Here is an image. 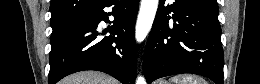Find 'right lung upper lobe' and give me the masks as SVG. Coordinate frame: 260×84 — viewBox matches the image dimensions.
I'll return each instance as SVG.
<instances>
[{"mask_svg":"<svg viewBox=\"0 0 260 84\" xmlns=\"http://www.w3.org/2000/svg\"><path fill=\"white\" fill-rule=\"evenodd\" d=\"M102 0H52L51 26L60 27L82 18L96 8Z\"/></svg>","mask_w":260,"mask_h":84,"instance_id":"obj_1","label":"right lung upper lobe"}]
</instances>
